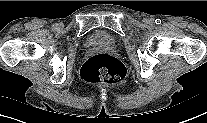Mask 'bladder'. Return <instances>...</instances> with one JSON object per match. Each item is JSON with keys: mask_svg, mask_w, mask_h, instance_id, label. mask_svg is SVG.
Returning <instances> with one entry per match:
<instances>
[{"mask_svg": "<svg viewBox=\"0 0 207 123\" xmlns=\"http://www.w3.org/2000/svg\"><path fill=\"white\" fill-rule=\"evenodd\" d=\"M114 42L113 37L104 31L94 32L87 41L90 46H110Z\"/></svg>", "mask_w": 207, "mask_h": 123, "instance_id": "31cf9c89", "label": "bladder"}]
</instances>
